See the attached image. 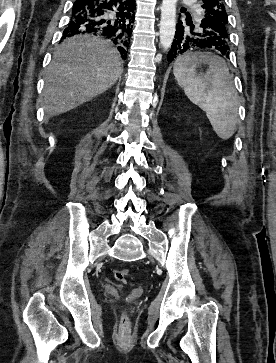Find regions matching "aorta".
<instances>
[{
	"instance_id": "obj_1",
	"label": "aorta",
	"mask_w": 276,
	"mask_h": 363,
	"mask_svg": "<svg viewBox=\"0 0 276 363\" xmlns=\"http://www.w3.org/2000/svg\"><path fill=\"white\" fill-rule=\"evenodd\" d=\"M177 0H163L160 20V45L164 51L170 49L176 31Z\"/></svg>"
}]
</instances>
